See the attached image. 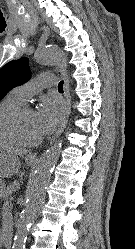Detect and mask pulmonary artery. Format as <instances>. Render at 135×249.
<instances>
[{"label":"pulmonary artery","mask_w":135,"mask_h":249,"mask_svg":"<svg viewBox=\"0 0 135 249\" xmlns=\"http://www.w3.org/2000/svg\"><path fill=\"white\" fill-rule=\"evenodd\" d=\"M56 83L57 79L54 75L41 73L31 81L14 88L12 93L21 101H27L33 94L45 88H52Z\"/></svg>","instance_id":"1"}]
</instances>
